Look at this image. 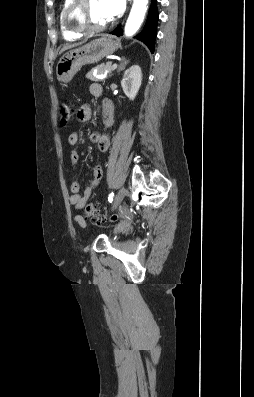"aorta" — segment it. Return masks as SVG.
I'll list each match as a JSON object with an SVG mask.
<instances>
[{"label": "aorta", "mask_w": 254, "mask_h": 397, "mask_svg": "<svg viewBox=\"0 0 254 397\" xmlns=\"http://www.w3.org/2000/svg\"><path fill=\"white\" fill-rule=\"evenodd\" d=\"M148 0H134L133 6L125 25V35L130 37L140 28L147 11Z\"/></svg>", "instance_id": "obj_1"}]
</instances>
